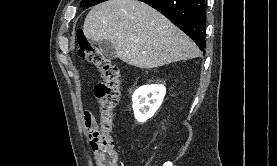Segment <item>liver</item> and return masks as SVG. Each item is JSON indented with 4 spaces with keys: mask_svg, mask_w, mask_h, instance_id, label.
I'll return each mask as SVG.
<instances>
[{
    "mask_svg": "<svg viewBox=\"0 0 277 166\" xmlns=\"http://www.w3.org/2000/svg\"><path fill=\"white\" fill-rule=\"evenodd\" d=\"M83 33L109 40L123 62L150 69L200 56L195 43L164 15L138 0H108L94 6Z\"/></svg>",
    "mask_w": 277,
    "mask_h": 166,
    "instance_id": "obj_1",
    "label": "liver"
}]
</instances>
